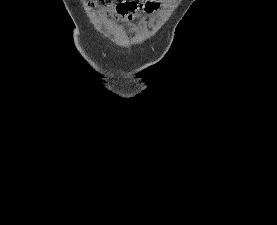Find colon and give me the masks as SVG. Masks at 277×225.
<instances>
[{
    "mask_svg": "<svg viewBox=\"0 0 277 225\" xmlns=\"http://www.w3.org/2000/svg\"><path fill=\"white\" fill-rule=\"evenodd\" d=\"M90 7H114L120 14H131L145 6L140 0H88Z\"/></svg>",
    "mask_w": 277,
    "mask_h": 225,
    "instance_id": "obj_1",
    "label": "colon"
}]
</instances>
